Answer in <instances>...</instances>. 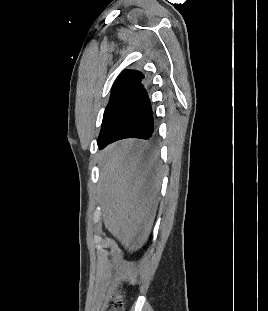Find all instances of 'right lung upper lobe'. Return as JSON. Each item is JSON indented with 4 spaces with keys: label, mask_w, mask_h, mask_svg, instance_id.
Here are the masks:
<instances>
[{
    "label": "right lung upper lobe",
    "mask_w": 268,
    "mask_h": 311,
    "mask_svg": "<svg viewBox=\"0 0 268 311\" xmlns=\"http://www.w3.org/2000/svg\"><path fill=\"white\" fill-rule=\"evenodd\" d=\"M144 78L143 74L136 70H125L123 71L117 80L114 82L111 92L118 89L133 86L136 87Z\"/></svg>",
    "instance_id": "right-lung-upper-lobe-1"
}]
</instances>
